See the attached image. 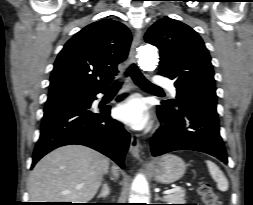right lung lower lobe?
<instances>
[{
	"instance_id": "obj_1",
	"label": "right lung lower lobe",
	"mask_w": 253,
	"mask_h": 205,
	"mask_svg": "<svg viewBox=\"0 0 253 205\" xmlns=\"http://www.w3.org/2000/svg\"><path fill=\"white\" fill-rule=\"evenodd\" d=\"M96 94L87 96L86 100L80 103L45 107L32 167L57 147L80 144L103 153L124 168V156L129 147L130 135L118 121L110 117L109 107L94 112L90 110ZM122 97L124 95L119 99Z\"/></svg>"
}]
</instances>
